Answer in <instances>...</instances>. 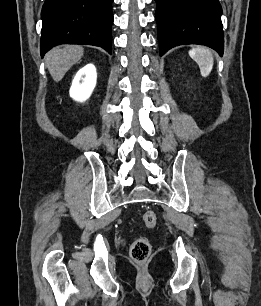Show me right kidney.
Returning a JSON list of instances; mask_svg holds the SVG:
<instances>
[{
  "label": "right kidney",
  "instance_id": "1",
  "mask_svg": "<svg viewBox=\"0 0 261 306\" xmlns=\"http://www.w3.org/2000/svg\"><path fill=\"white\" fill-rule=\"evenodd\" d=\"M97 80L96 68L88 64L81 68L75 75L70 88V96L79 102L86 101L92 94Z\"/></svg>",
  "mask_w": 261,
  "mask_h": 306
}]
</instances>
